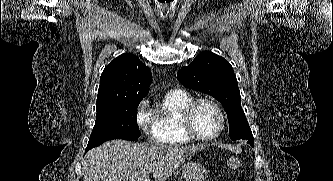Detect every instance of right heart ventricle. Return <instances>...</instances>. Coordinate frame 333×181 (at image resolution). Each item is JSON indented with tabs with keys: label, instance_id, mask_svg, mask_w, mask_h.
<instances>
[{
	"label": "right heart ventricle",
	"instance_id": "1",
	"mask_svg": "<svg viewBox=\"0 0 333 181\" xmlns=\"http://www.w3.org/2000/svg\"><path fill=\"white\" fill-rule=\"evenodd\" d=\"M187 92L175 90L169 92L163 102L152 111L156 122L154 139L166 144H186L193 139L184 131L182 113L192 100Z\"/></svg>",
	"mask_w": 333,
	"mask_h": 181
}]
</instances>
